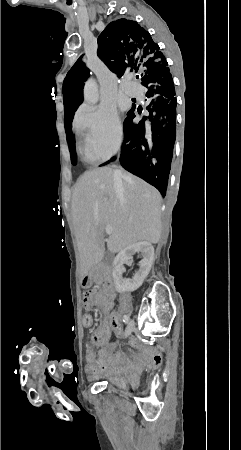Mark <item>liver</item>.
<instances>
[{
	"mask_svg": "<svg viewBox=\"0 0 241 450\" xmlns=\"http://www.w3.org/2000/svg\"><path fill=\"white\" fill-rule=\"evenodd\" d=\"M113 174V168H94L80 176L74 186L71 210L82 278L103 258L107 226L112 228L106 240L112 254L136 242L158 244L160 240V192L124 170L123 190H116Z\"/></svg>",
	"mask_w": 241,
	"mask_h": 450,
	"instance_id": "obj_1",
	"label": "liver"
}]
</instances>
